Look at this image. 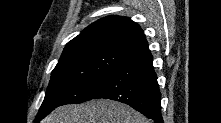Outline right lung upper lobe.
I'll use <instances>...</instances> for the list:
<instances>
[{
    "label": "right lung upper lobe",
    "mask_w": 221,
    "mask_h": 123,
    "mask_svg": "<svg viewBox=\"0 0 221 123\" xmlns=\"http://www.w3.org/2000/svg\"><path fill=\"white\" fill-rule=\"evenodd\" d=\"M86 49H106L132 57L149 51L143 30L130 18L107 16L69 41L62 56Z\"/></svg>",
    "instance_id": "1"
}]
</instances>
